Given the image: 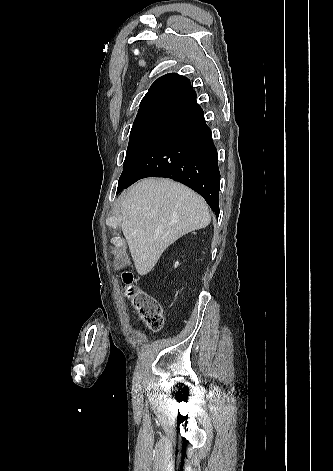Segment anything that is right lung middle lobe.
Listing matches in <instances>:
<instances>
[{"instance_id": "1", "label": "right lung middle lobe", "mask_w": 333, "mask_h": 471, "mask_svg": "<svg viewBox=\"0 0 333 471\" xmlns=\"http://www.w3.org/2000/svg\"><path fill=\"white\" fill-rule=\"evenodd\" d=\"M175 121L177 120L157 116L136 117L130 132L123 172L160 133Z\"/></svg>"}]
</instances>
